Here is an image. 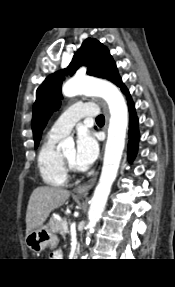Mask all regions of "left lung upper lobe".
<instances>
[{"label":"left lung upper lobe","mask_w":175,"mask_h":287,"mask_svg":"<svg viewBox=\"0 0 175 287\" xmlns=\"http://www.w3.org/2000/svg\"><path fill=\"white\" fill-rule=\"evenodd\" d=\"M81 66H87L88 75L107 79L121 89L125 87L107 47L96 39H86L75 53L69 66L49 75L37 89L32 119L35 148L39 144L42 130L48 119L61 105V85L64 76H72Z\"/></svg>","instance_id":"5c2ea615"}]
</instances>
